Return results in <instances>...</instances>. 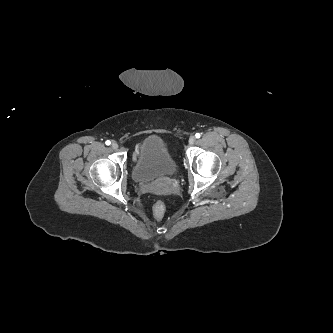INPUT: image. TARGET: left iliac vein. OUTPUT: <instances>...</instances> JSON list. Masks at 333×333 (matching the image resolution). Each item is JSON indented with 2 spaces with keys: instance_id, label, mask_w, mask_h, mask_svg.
<instances>
[{
  "instance_id": "4c4485c4",
  "label": "left iliac vein",
  "mask_w": 333,
  "mask_h": 333,
  "mask_svg": "<svg viewBox=\"0 0 333 333\" xmlns=\"http://www.w3.org/2000/svg\"><path fill=\"white\" fill-rule=\"evenodd\" d=\"M195 141H196L195 136H191V137L189 138V144H190V145H193V144L195 143Z\"/></svg>"
}]
</instances>
